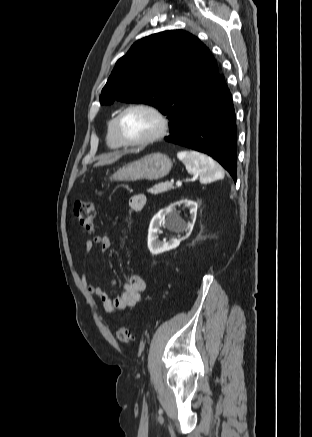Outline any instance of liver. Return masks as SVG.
Instances as JSON below:
<instances>
[{"label": "liver", "mask_w": 312, "mask_h": 437, "mask_svg": "<svg viewBox=\"0 0 312 437\" xmlns=\"http://www.w3.org/2000/svg\"><path fill=\"white\" fill-rule=\"evenodd\" d=\"M125 153L122 152H115L112 154H108L101 158L94 167L103 166V165H110L115 163L117 160H119Z\"/></svg>", "instance_id": "6515ba94"}]
</instances>
